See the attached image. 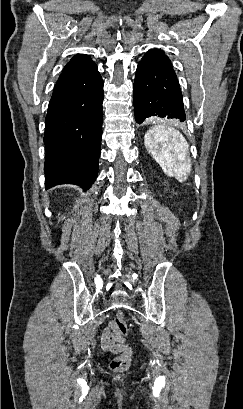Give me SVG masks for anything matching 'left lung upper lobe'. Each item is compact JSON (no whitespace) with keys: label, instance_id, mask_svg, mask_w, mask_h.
<instances>
[{"label":"left lung upper lobe","instance_id":"1","mask_svg":"<svg viewBox=\"0 0 243 409\" xmlns=\"http://www.w3.org/2000/svg\"><path fill=\"white\" fill-rule=\"evenodd\" d=\"M142 61L159 64L161 66L173 69L169 58L165 55L164 51L160 49H151L147 51L142 58Z\"/></svg>","mask_w":243,"mask_h":409}]
</instances>
